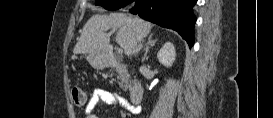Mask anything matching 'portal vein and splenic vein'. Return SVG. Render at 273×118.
<instances>
[{
	"mask_svg": "<svg viewBox=\"0 0 273 118\" xmlns=\"http://www.w3.org/2000/svg\"><path fill=\"white\" fill-rule=\"evenodd\" d=\"M115 32V30H112L109 34H112V33H114ZM121 47V46H120ZM119 51H122V47L121 48H119Z\"/></svg>",
	"mask_w": 273,
	"mask_h": 118,
	"instance_id": "obj_1",
	"label": "portal vein and splenic vein"
}]
</instances>
